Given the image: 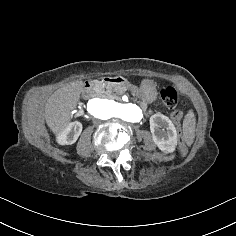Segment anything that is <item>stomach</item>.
Here are the masks:
<instances>
[{
    "label": "stomach",
    "instance_id": "0dacf381",
    "mask_svg": "<svg viewBox=\"0 0 236 236\" xmlns=\"http://www.w3.org/2000/svg\"><path fill=\"white\" fill-rule=\"evenodd\" d=\"M125 90L139 95V101L146 104H154L158 95V88L153 81H143L141 86L126 84Z\"/></svg>",
    "mask_w": 236,
    "mask_h": 236
}]
</instances>
